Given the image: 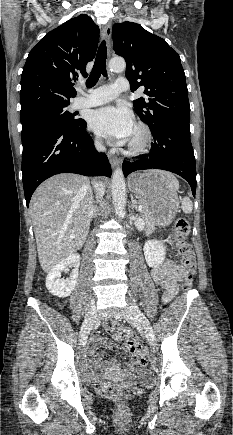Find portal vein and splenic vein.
<instances>
[{
	"label": "portal vein and splenic vein",
	"instance_id": "obj_1",
	"mask_svg": "<svg viewBox=\"0 0 233 435\" xmlns=\"http://www.w3.org/2000/svg\"><path fill=\"white\" fill-rule=\"evenodd\" d=\"M142 208H143V206H142V205H140V206L138 207V210H139V211H141V210H142ZM70 238H75V235H71V236H70Z\"/></svg>",
	"mask_w": 233,
	"mask_h": 435
}]
</instances>
